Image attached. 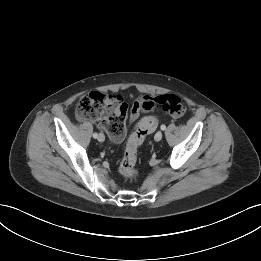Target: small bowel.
<instances>
[{"label": "small bowel", "instance_id": "obj_1", "mask_svg": "<svg viewBox=\"0 0 261 261\" xmlns=\"http://www.w3.org/2000/svg\"><path fill=\"white\" fill-rule=\"evenodd\" d=\"M153 100V97H150L148 95L146 96H142L137 98L132 107H131V111H130V116H129V121L132 123L134 121H136L140 115V113L142 112H149L152 111V109L147 108L145 105L147 103H149L150 101ZM112 139V138H111ZM123 141V140H122ZM121 142V141H120ZM119 143V142H117Z\"/></svg>", "mask_w": 261, "mask_h": 261}]
</instances>
